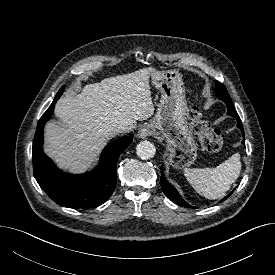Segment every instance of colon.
Listing matches in <instances>:
<instances>
[{
	"label": "colon",
	"instance_id": "obj_1",
	"mask_svg": "<svg viewBox=\"0 0 275 275\" xmlns=\"http://www.w3.org/2000/svg\"><path fill=\"white\" fill-rule=\"evenodd\" d=\"M188 117L191 120V129L199 138L203 148L210 152L219 151L223 146L222 135L204 118L197 105L189 109Z\"/></svg>",
	"mask_w": 275,
	"mask_h": 275
}]
</instances>
